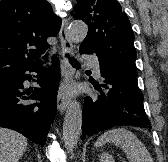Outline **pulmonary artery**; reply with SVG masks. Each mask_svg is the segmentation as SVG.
<instances>
[{"label":"pulmonary artery","mask_w":168,"mask_h":162,"mask_svg":"<svg viewBox=\"0 0 168 162\" xmlns=\"http://www.w3.org/2000/svg\"><path fill=\"white\" fill-rule=\"evenodd\" d=\"M87 60L92 66L95 76L99 78L101 75L99 61L96 58H87Z\"/></svg>","instance_id":"1"}]
</instances>
